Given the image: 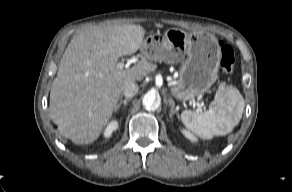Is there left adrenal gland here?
<instances>
[{"instance_id":"1","label":"left adrenal gland","mask_w":292,"mask_h":192,"mask_svg":"<svg viewBox=\"0 0 292 192\" xmlns=\"http://www.w3.org/2000/svg\"><path fill=\"white\" fill-rule=\"evenodd\" d=\"M168 102L170 106V118H172L173 115H176L179 118L178 110L175 108L174 101L171 97H169Z\"/></svg>"}]
</instances>
